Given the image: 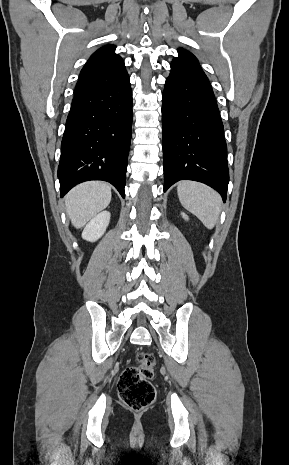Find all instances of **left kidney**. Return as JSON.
I'll return each instance as SVG.
<instances>
[{
	"label": "left kidney",
	"mask_w": 289,
	"mask_h": 465,
	"mask_svg": "<svg viewBox=\"0 0 289 465\" xmlns=\"http://www.w3.org/2000/svg\"><path fill=\"white\" fill-rule=\"evenodd\" d=\"M181 215L185 220H188V216L185 213H181Z\"/></svg>",
	"instance_id": "obj_1"
}]
</instances>
